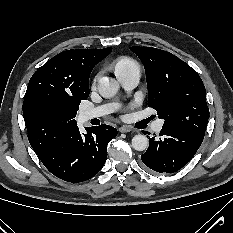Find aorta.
I'll return each mask as SVG.
<instances>
[{
  "mask_svg": "<svg viewBox=\"0 0 233 233\" xmlns=\"http://www.w3.org/2000/svg\"><path fill=\"white\" fill-rule=\"evenodd\" d=\"M98 90L102 97L111 98L118 92L119 83L115 79L102 77L98 82ZM148 144V138L143 134L135 135L132 138V147L137 151H144L147 149Z\"/></svg>",
  "mask_w": 233,
  "mask_h": 233,
  "instance_id": "1",
  "label": "aorta"
}]
</instances>
